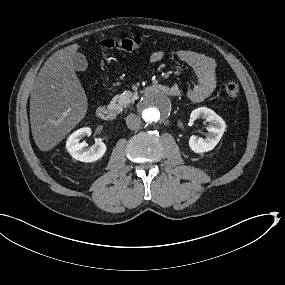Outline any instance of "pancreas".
Instances as JSON below:
<instances>
[{
  "label": "pancreas",
  "mask_w": 285,
  "mask_h": 285,
  "mask_svg": "<svg viewBox=\"0 0 285 285\" xmlns=\"http://www.w3.org/2000/svg\"><path fill=\"white\" fill-rule=\"evenodd\" d=\"M139 93L136 90L126 91L125 94L118 93L114 98L108 102L107 107L111 111L121 112L123 108H126L131 102H135Z\"/></svg>",
  "instance_id": "cf45deb5"
}]
</instances>
